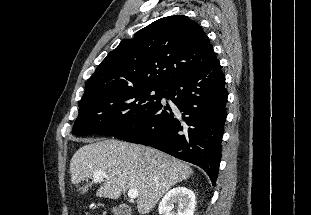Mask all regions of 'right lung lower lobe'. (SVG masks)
<instances>
[{"label": "right lung lower lobe", "instance_id": "1", "mask_svg": "<svg viewBox=\"0 0 311 215\" xmlns=\"http://www.w3.org/2000/svg\"><path fill=\"white\" fill-rule=\"evenodd\" d=\"M162 97L172 105L160 104L134 127L114 137L198 165L215 185L228 97L219 60L169 81Z\"/></svg>", "mask_w": 311, "mask_h": 215}]
</instances>
